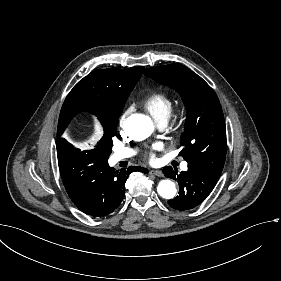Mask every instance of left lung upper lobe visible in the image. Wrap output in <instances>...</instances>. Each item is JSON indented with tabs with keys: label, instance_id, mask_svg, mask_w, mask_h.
<instances>
[{
	"label": "left lung upper lobe",
	"instance_id": "5c2ea615",
	"mask_svg": "<svg viewBox=\"0 0 281 281\" xmlns=\"http://www.w3.org/2000/svg\"><path fill=\"white\" fill-rule=\"evenodd\" d=\"M153 80L169 85L182 97L187 109L185 131L179 153L188 163L221 175L226 157V130L223 111L214 90L197 74L181 64L145 69Z\"/></svg>",
	"mask_w": 281,
	"mask_h": 281
}]
</instances>
